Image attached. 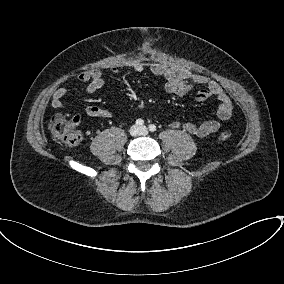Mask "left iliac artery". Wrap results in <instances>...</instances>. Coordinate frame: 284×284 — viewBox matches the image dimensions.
Here are the masks:
<instances>
[{
	"label": "left iliac artery",
	"mask_w": 284,
	"mask_h": 284,
	"mask_svg": "<svg viewBox=\"0 0 284 284\" xmlns=\"http://www.w3.org/2000/svg\"><path fill=\"white\" fill-rule=\"evenodd\" d=\"M149 130H150L151 132H154V131L156 130V126H155L154 124H150V125H149Z\"/></svg>",
	"instance_id": "left-iliac-artery-1"
}]
</instances>
